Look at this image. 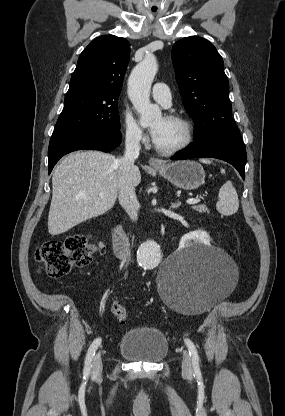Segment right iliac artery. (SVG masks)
<instances>
[{
  "label": "right iliac artery",
  "instance_id": "82829eb1",
  "mask_svg": "<svg viewBox=\"0 0 285 416\" xmlns=\"http://www.w3.org/2000/svg\"><path fill=\"white\" fill-rule=\"evenodd\" d=\"M100 344H101V338H97L92 342V344L90 345L88 349L86 360H85L84 372H83L84 378L88 377L90 374L93 357Z\"/></svg>",
  "mask_w": 285,
  "mask_h": 416
}]
</instances>
